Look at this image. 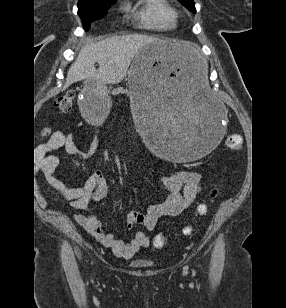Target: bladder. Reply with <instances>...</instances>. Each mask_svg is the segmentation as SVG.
<instances>
[{
    "label": "bladder",
    "mask_w": 286,
    "mask_h": 308,
    "mask_svg": "<svg viewBox=\"0 0 286 308\" xmlns=\"http://www.w3.org/2000/svg\"><path fill=\"white\" fill-rule=\"evenodd\" d=\"M130 264L137 268H148L151 267L154 262L152 260L136 258L130 261Z\"/></svg>",
    "instance_id": "bladder-1"
}]
</instances>
